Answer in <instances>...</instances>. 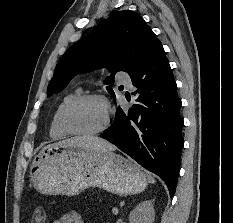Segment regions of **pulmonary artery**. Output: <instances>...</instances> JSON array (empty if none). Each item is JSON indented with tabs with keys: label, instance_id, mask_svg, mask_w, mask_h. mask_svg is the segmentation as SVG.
Returning <instances> with one entry per match:
<instances>
[{
	"label": "pulmonary artery",
	"instance_id": "obj_1",
	"mask_svg": "<svg viewBox=\"0 0 233 223\" xmlns=\"http://www.w3.org/2000/svg\"><path fill=\"white\" fill-rule=\"evenodd\" d=\"M116 78L121 79L120 82L126 85L129 89L133 88L131 74H125V70H116Z\"/></svg>",
	"mask_w": 233,
	"mask_h": 223
}]
</instances>
